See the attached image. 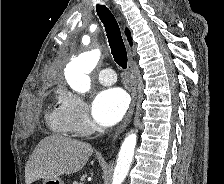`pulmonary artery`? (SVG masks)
<instances>
[{
	"instance_id": "1",
	"label": "pulmonary artery",
	"mask_w": 224,
	"mask_h": 184,
	"mask_svg": "<svg viewBox=\"0 0 224 184\" xmlns=\"http://www.w3.org/2000/svg\"><path fill=\"white\" fill-rule=\"evenodd\" d=\"M98 79L103 85H112L116 82V74L114 70L110 68L102 69L98 73Z\"/></svg>"
}]
</instances>
